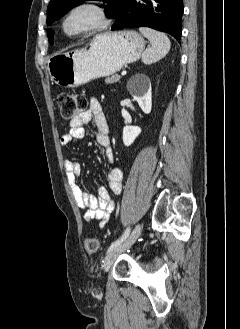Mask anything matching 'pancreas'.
<instances>
[{
	"instance_id": "pancreas-1",
	"label": "pancreas",
	"mask_w": 240,
	"mask_h": 329,
	"mask_svg": "<svg viewBox=\"0 0 240 329\" xmlns=\"http://www.w3.org/2000/svg\"><path fill=\"white\" fill-rule=\"evenodd\" d=\"M120 78H121L120 75L115 74L112 77L106 78L105 82L108 83V84H112L114 82H118L120 80Z\"/></svg>"
}]
</instances>
